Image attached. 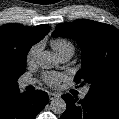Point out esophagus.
Listing matches in <instances>:
<instances>
[{
    "instance_id": "34e87169",
    "label": "esophagus",
    "mask_w": 119,
    "mask_h": 119,
    "mask_svg": "<svg viewBox=\"0 0 119 119\" xmlns=\"http://www.w3.org/2000/svg\"><path fill=\"white\" fill-rule=\"evenodd\" d=\"M56 98H59V94H56V93H49V99L50 100H54Z\"/></svg>"
}]
</instances>
